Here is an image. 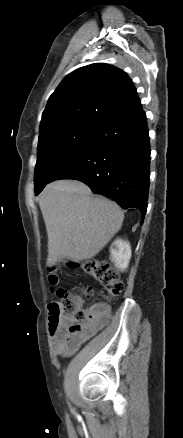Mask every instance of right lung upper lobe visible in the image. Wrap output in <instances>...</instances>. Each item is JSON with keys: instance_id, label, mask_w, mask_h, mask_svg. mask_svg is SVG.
<instances>
[{"instance_id": "obj_1", "label": "right lung upper lobe", "mask_w": 183, "mask_h": 438, "mask_svg": "<svg viewBox=\"0 0 183 438\" xmlns=\"http://www.w3.org/2000/svg\"><path fill=\"white\" fill-rule=\"evenodd\" d=\"M139 103L132 81L122 70L104 63L81 67L66 76L50 96L39 137L77 125L98 126Z\"/></svg>"}]
</instances>
